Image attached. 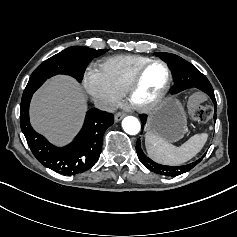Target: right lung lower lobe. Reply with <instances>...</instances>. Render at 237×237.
I'll list each match as a JSON object with an SVG mask.
<instances>
[{
  "instance_id": "98d812e1",
  "label": "right lung lower lobe",
  "mask_w": 237,
  "mask_h": 237,
  "mask_svg": "<svg viewBox=\"0 0 237 237\" xmlns=\"http://www.w3.org/2000/svg\"><path fill=\"white\" fill-rule=\"evenodd\" d=\"M32 94H23L20 104V124L35 157L49 169L63 174L75 175L90 169L98 160L105 130L114 123L110 113L90 109L82 130L74 141L63 148L49 143L34 131L29 121V104Z\"/></svg>"
}]
</instances>
